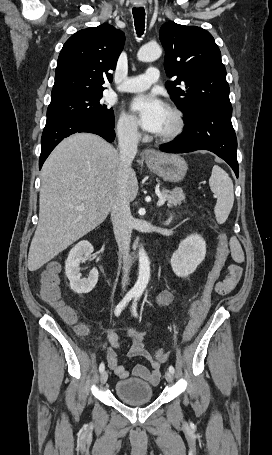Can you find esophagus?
Segmentation results:
<instances>
[{
	"label": "esophagus",
	"mask_w": 272,
	"mask_h": 455,
	"mask_svg": "<svg viewBox=\"0 0 272 455\" xmlns=\"http://www.w3.org/2000/svg\"><path fill=\"white\" fill-rule=\"evenodd\" d=\"M157 152L154 149H147L143 152V157L146 160H152L156 157Z\"/></svg>",
	"instance_id": "34e87169"
}]
</instances>
